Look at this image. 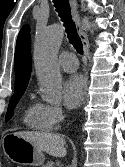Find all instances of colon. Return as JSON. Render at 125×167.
Returning <instances> with one entry per match:
<instances>
[{"instance_id":"5ec220e1","label":"colon","mask_w":125,"mask_h":167,"mask_svg":"<svg viewBox=\"0 0 125 167\" xmlns=\"http://www.w3.org/2000/svg\"><path fill=\"white\" fill-rule=\"evenodd\" d=\"M14 167H21V166H19V165H16V166H14Z\"/></svg>"}]
</instances>
